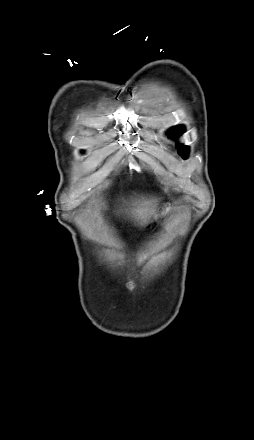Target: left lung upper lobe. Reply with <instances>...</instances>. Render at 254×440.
I'll return each instance as SVG.
<instances>
[{
	"label": "left lung upper lobe",
	"instance_id": "1",
	"mask_svg": "<svg viewBox=\"0 0 254 440\" xmlns=\"http://www.w3.org/2000/svg\"><path fill=\"white\" fill-rule=\"evenodd\" d=\"M183 132H184L183 127H181V126L174 127L169 131V137L176 138L179 135H181ZM177 148H178V152L180 155H182L183 157L187 156L188 148L186 146L177 144Z\"/></svg>",
	"mask_w": 254,
	"mask_h": 440
}]
</instances>
